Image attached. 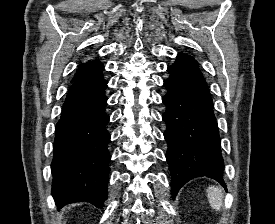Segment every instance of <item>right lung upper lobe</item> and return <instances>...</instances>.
Instances as JSON below:
<instances>
[{"label": "right lung upper lobe", "instance_id": "cb5924a9", "mask_svg": "<svg viewBox=\"0 0 275 224\" xmlns=\"http://www.w3.org/2000/svg\"><path fill=\"white\" fill-rule=\"evenodd\" d=\"M102 71L103 65L100 61H88L78 67L71 82L74 83L92 76L100 75Z\"/></svg>", "mask_w": 275, "mask_h": 224}]
</instances>
